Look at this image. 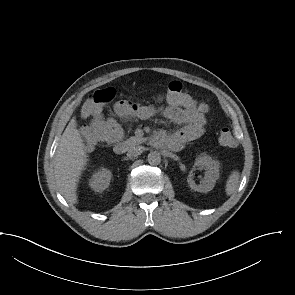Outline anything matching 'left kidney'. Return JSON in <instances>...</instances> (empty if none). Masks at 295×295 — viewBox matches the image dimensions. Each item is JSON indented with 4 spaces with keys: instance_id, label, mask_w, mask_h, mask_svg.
<instances>
[{
    "instance_id": "left-kidney-1",
    "label": "left kidney",
    "mask_w": 295,
    "mask_h": 295,
    "mask_svg": "<svg viewBox=\"0 0 295 295\" xmlns=\"http://www.w3.org/2000/svg\"><path fill=\"white\" fill-rule=\"evenodd\" d=\"M195 166L204 168L206 170L204 179L201 184L197 185L193 180V175L190 173L187 178V182L191 189L207 193L211 191L216 183V180L219 179V165L217 161L213 160L207 155L199 156L195 161Z\"/></svg>"
}]
</instances>
